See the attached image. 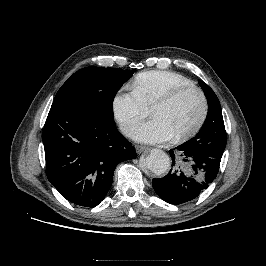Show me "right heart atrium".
<instances>
[{
    "label": "right heart atrium",
    "mask_w": 266,
    "mask_h": 266,
    "mask_svg": "<svg viewBox=\"0 0 266 266\" xmlns=\"http://www.w3.org/2000/svg\"><path fill=\"white\" fill-rule=\"evenodd\" d=\"M114 118L121 131L130 136L135 127L149 114V107L133 90H120L112 100Z\"/></svg>",
    "instance_id": "d8ad5b80"
}]
</instances>
